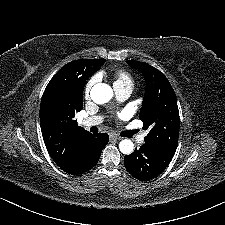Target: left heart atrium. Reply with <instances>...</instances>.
<instances>
[{
	"mask_svg": "<svg viewBox=\"0 0 225 225\" xmlns=\"http://www.w3.org/2000/svg\"><path fill=\"white\" fill-rule=\"evenodd\" d=\"M119 117H120V118H123V117H124V114H123V113H120V114H119Z\"/></svg>",
	"mask_w": 225,
	"mask_h": 225,
	"instance_id": "obj_1",
	"label": "left heart atrium"
}]
</instances>
